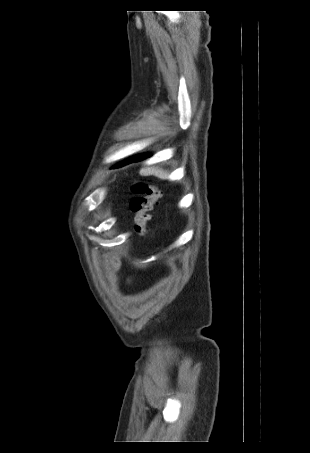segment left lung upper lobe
Wrapping results in <instances>:
<instances>
[{
    "label": "left lung upper lobe",
    "mask_w": 310,
    "mask_h": 453,
    "mask_svg": "<svg viewBox=\"0 0 310 453\" xmlns=\"http://www.w3.org/2000/svg\"><path fill=\"white\" fill-rule=\"evenodd\" d=\"M129 162H130V159H128V160H126V161H124V162H122V163L116 165L115 168L124 166V165L128 164Z\"/></svg>",
    "instance_id": "1"
}]
</instances>
